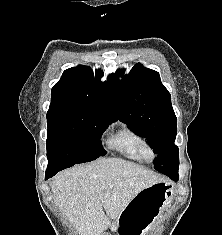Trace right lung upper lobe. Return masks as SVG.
Listing matches in <instances>:
<instances>
[{"label": "right lung upper lobe", "mask_w": 222, "mask_h": 235, "mask_svg": "<svg viewBox=\"0 0 222 235\" xmlns=\"http://www.w3.org/2000/svg\"><path fill=\"white\" fill-rule=\"evenodd\" d=\"M96 76L97 79L91 68L83 65L65 70L60 81L52 88L47 115L63 112L93 113L117 120L109 81L101 82V70L96 71Z\"/></svg>", "instance_id": "cb5924a9"}]
</instances>
